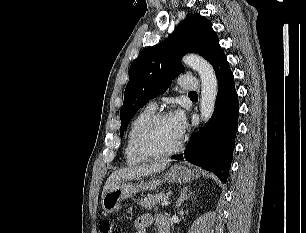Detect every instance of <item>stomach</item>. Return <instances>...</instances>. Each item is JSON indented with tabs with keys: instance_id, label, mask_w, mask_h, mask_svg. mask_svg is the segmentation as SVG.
Segmentation results:
<instances>
[{
	"instance_id": "stomach-1",
	"label": "stomach",
	"mask_w": 306,
	"mask_h": 233,
	"mask_svg": "<svg viewBox=\"0 0 306 233\" xmlns=\"http://www.w3.org/2000/svg\"><path fill=\"white\" fill-rule=\"evenodd\" d=\"M199 176L197 170H191L181 164L171 167L164 175L163 179L152 176L149 181H139L137 183H130L122 181L115 184L102 197V208L107 213L117 212L121 208L123 200L131 197L140 190H154L163 181L172 183H187Z\"/></svg>"
}]
</instances>
